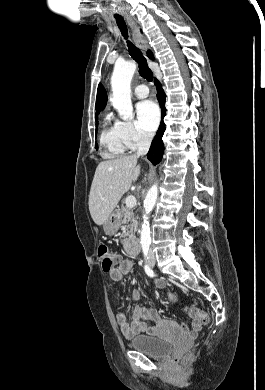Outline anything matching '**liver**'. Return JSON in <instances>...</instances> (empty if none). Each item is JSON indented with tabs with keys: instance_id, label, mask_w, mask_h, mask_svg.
I'll use <instances>...</instances> for the list:
<instances>
[{
	"instance_id": "6515ba94",
	"label": "liver",
	"mask_w": 265,
	"mask_h": 390,
	"mask_svg": "<svg viewBox=\"0 0 265 390\" xmlns=\"http://www.w3.org/2000/svg\"><path fill=\"white\" fill-rule=\"evenodd\" d=\"M138 156H123L100 162L89 194V211L95 224L102 225L117 206L132 182L140 175Z\"/></svg>"
}]
</instances>
